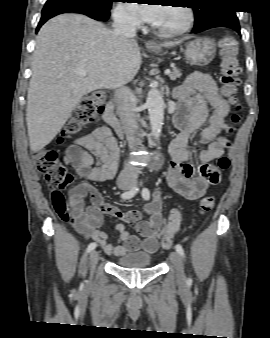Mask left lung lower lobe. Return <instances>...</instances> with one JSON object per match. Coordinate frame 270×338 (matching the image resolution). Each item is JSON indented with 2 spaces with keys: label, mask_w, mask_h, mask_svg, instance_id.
<instances>
[{
  "label": "left lung lower lobe",
  "mask_w": 270,
  "mask_h": 338,
  "mask_svg": "<svg viewBox=\"0 0 270 338\" xmlns=\"http://www.w3.org/2000/svg\"><path fill=\"white\" fill-rule=\"evenodd\" d=\"M214 27L231 28V29L237 31L240 34L239 21H238L236 14H235V11L226 13L223 16L215 18V19L211 20L209 23H207L206 25H204L202 28H200L198 30L193 29V32L198 33V32L204 31V30L209 29V28H214Z\"/></svg>",
  "instance_id": "0a47b994"
}]
</instances>
